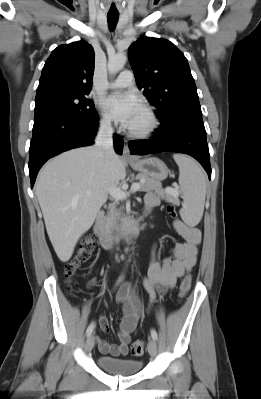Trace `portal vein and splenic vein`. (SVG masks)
<instances>
[{"instance_id": "18ae733b", "label": "portal vein and splenic vein", "mask_w": 261, "mask_h": 399, "mask_svg": "<svg viewBox=\"0 0 261 399\" xmlns=\"http://www.w3.org/2000/svg\"><path fill=\"white\" fill-rule=\"evenodd\" d=\"M139 189H140V183H133L129 192H125L119 188L114 187L110 189L109 193L116 200H124L127 198V195H129V193H134ZM167 192L173 195H179V192L176 189L168 188Z\"/></svg>"}]
</instances>
